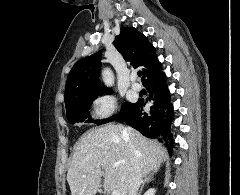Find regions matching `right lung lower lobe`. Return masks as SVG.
Instances as JSON below:
<instances>
[{
	"label": "right lung lower lobe",
	"instance_id": "1",
	"mask_svg": "<svg viewBox=\"0 0 240 195\" xmlns=\"http://www.w3.org/2000/svg\"><path fill=\"white\" fill-rule=\"evenodd\" d=\"M145 87L149 91V98L138 100L132 109L114 120L128 123L148 138L165 142L171 152L174 140L169 128L173 120V106L164 73L160 72ZM148 101L150 110L145 112L143 108Z\"/></svg>",
	"mask_w": 240,
	"mask_h": 195
}]
</instances>
